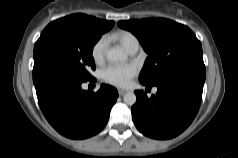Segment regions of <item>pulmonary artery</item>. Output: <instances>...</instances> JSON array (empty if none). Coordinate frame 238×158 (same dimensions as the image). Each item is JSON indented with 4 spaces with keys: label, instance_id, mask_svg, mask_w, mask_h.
Returning <instances> with one entry per match:
<instances>
[{
    "label": "pulmonary artery",
    "instance_id": "1",
    "mask_svg": "<svg viewBox=\"0 0 238 158\" xmlns=\"http://www.w3.org/2000/svg\"><path fill=\"white\" fill-rule=\"evenodd\" d=\"M138 49H139V43H135L128 49V52L130 54H135L138 51Z\"/></svg>",
    "mask_w": 238,
    "mask_h": 158
}]
</instances>
